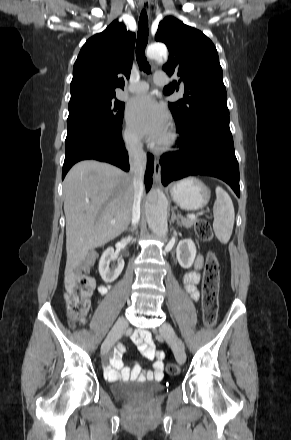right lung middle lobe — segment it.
<instances>
[{
    "mask_svg": "<svg viewBox=\"0 0 291 440\" xmlns=\"http://www.w3.org/2000/svg\"><path fill=\"white\" fill-rule=\"evenodd\" d=\"M124 106L115 95L79 98L69 102L67 124L88 123L103 128L116 127L122 124Z\"/></svg>",
    "mask_w": 291,
    "mask_h": 440,
    "instance_id": "1",
    "label": "right lung middle lobe"
}]
</instances>
